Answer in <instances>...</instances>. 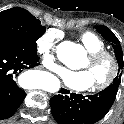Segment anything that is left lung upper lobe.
Returning a JSON list of instances; mask_svg holds the SVG:
<instances>
[{"label":"left lung upper lobe","instance_id":"5c2ea615","mask_svg":"<svg viewBox=\"0 0 124 124\" xmlns=\"http://www.w3.org/2000/svg\"><path fill=\"white\" fill-rule=\"evenodd\" d=\"M95 28L102 34V36L107 41L111 42V44L114 48L117 63L119 65V70H118V74H117L116 78L114 79L113 83L110 86H114L118 89V86L121 82L122 69H123V65H124L123 53H122V48H121L120 42L117 39V37L114 35V33L106 26L101 25V26H96Z\"/></svg>","mask_w":124,"mask_h":124}]
</instances>
